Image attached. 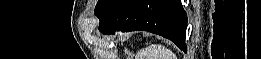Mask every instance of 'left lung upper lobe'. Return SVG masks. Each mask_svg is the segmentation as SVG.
I'll list each match as a JSON object with an SVG mask.
<instances>
[{
    "label": "left lung upper lobe",
    "instance_id": "5c2ea615",
    "mask_svg": "<svg viewBox=\"0 0 261 59\" xmlns=\"http://www.w3.org/2000/svg\"><path fill=\"white\" fill-rule=\"evenodd\" d=\"M120 0H99L96 8H95V15L101 21L119 2Z\"/></svg>",
    "mask_w": 261,
    "mask_h": 59
}]
</instances>
